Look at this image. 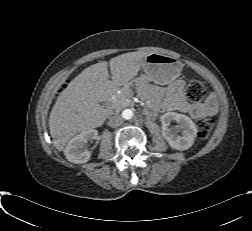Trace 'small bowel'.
<instances>
[{
	"instance_id": "small-bowel-1",
	"label": "small bowel",
	"mask_w": 252,
	"mask_h": 231,
	"mask_svg": "<svg viewBox=\"0 0 252 231\" xmlns=\"http://www.w3.org/2000/svg\"><path fill=\"white\" fill-rule=\"evenodd\" d=\"M176 109L191 114L194 118L200 119L204 118L208 114L207 107L203 104L191 105L181 98L176 101Z\"/></svg>"
}]
</instances>
